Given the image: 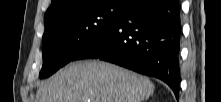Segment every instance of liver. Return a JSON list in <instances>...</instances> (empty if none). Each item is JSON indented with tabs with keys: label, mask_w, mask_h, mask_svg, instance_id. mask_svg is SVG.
I'll list each match as a JSON object with an SVG mask.
<instances>
[{
	"label": "liver",
	"mask_w": 221,
	"mask_h": 102,
	"mask_svg": "<svg viewBox=\"0 0 221 102\" xmlns=\"http://www.w3.org/2000/svg\"><path fill=\"white\" fill-rule=\"evenodd\" d=\"M152 82L102 61H79L59 70L39 87L36 102H143Z\"/></svg>",
	"instance_id": "obj_1"
}]
</instances>
